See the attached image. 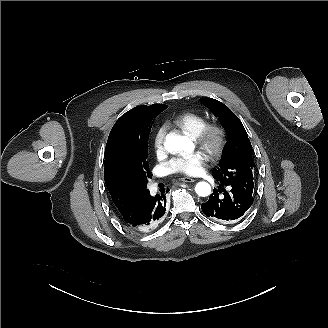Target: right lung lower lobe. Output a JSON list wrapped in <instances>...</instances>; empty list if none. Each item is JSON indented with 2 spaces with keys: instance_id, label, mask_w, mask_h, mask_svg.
Instances as JSON below:
<instances>
[{
  "instance_id": "obj_1",
  "label": "right lung lower lobe",
  "mask_w": 328,
  "mask_h": 328,
  "mask_svg": "<svg viewBox=\"0 0 328 328\" xmlns=\"http://www.w3.org/2000/svg\"><path fill=\"white\" fill-rule=\"evenodd\" d=\"M165 211L166 196H152L149 193L137 217L132 221V223H127L124 221V224L131 229L147 232L161 222Z\"/></svg>"
}]
</instances>
